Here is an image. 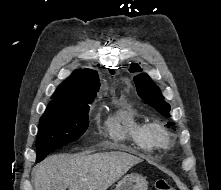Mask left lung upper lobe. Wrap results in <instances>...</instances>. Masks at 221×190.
I'll return each instance as SVG.
<instances>
[{
	"instance_id": "1",
	"label": "left lung upper lobe",
	"mask_w": 221,
	"mask_h": 190,
	"mask_svg": "<svg viewBox=\"0 0 221 190\" xmlns=\"http://www.w3.org/2000/svg\"><path fill=\"white\" fill-rule=\"evenodd\" d=\"M137 93L147 104L155 108L163 116L170 117V105L164 100L159 88L147 74H140L134 78ZM171 123H168V126Z\"/></svg>"
}]
</instances>
